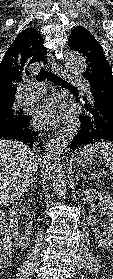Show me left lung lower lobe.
Here are the masks:
<instances>
[{"mask_svg": "<svg viewBox=\"0 0 113 279\" xmlns=\"http://www.w3.org/2000/svg\"><path fill=\"white\" fill-rule=\"evenodd\" d=\"M77 97L85 112L79 117L81 130L71 142L70 149L94 142L113 141V98L98 90H92L91 98Z\"/></svg>", "mask_w": 113, "mask_h": 279, "instance_id": "1", "label": "left lung lower lobe"}]
</instances>
